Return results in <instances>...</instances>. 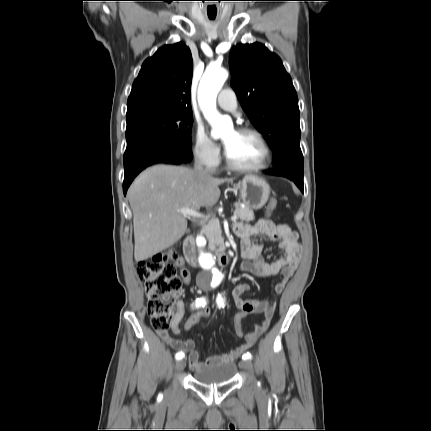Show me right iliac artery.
Segmentation results:
<instances>
[{"label":"right iliac artery","instance_id":"82829eb1","mask_svg":"<svg viewBox=\"0 0 431 431\" xmlns=\"http://www.w3.org/2000/svg\"><path fill=\"white\" fill-rule=\"evenodd\" d=\"M205 303H206V300H205V298H200V299H197L196 300V302H195V307H200L201 305L202 306H204L205 305ZM184 357V353H182V352H178V353H176V355H175V358L177 359V360H180V359H182Z\"/></svg>","mask_w":431,"mask_h":431}]
</instances>
